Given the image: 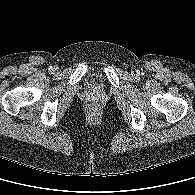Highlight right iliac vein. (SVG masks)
<instances>
[{
    "label": "right iliac vein",
    "instance_id": "1",
    "mask_svg": "<svg viewBox=\"0 0 195 195\" xmlns=\"http://www.w3.org/2000/svg\"><path fill=\"white\" fill-rule=\"evenodd\" d=\"M53 69H54V71H56L58 68L57 67H54Z\"/></svg>",
    "mask_w": 195,
    "mask_h": 195
}]
</instances>
